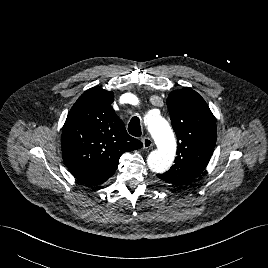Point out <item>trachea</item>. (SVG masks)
I'll return each instance as SVG.
<instances>
[{
	"label": "trachea",
	"mask_w": 268,
	"mask_h": 268,
	"mask_svg": "<svg viewBox=\"0 0 268 268\" xmlns=\"http://www.w3.org/2000/svg\"><path fill=\"white\" fill-rule=\"evenodd\" d=\"M129 133L134 137H140L142 135L140 120L137 116H134L128 125Z\"/></svg>",
	"instance_id": "3493384b"
}]
</instances>
